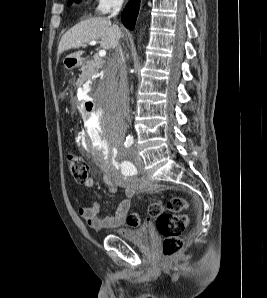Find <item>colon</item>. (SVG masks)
Masks as SVG:
<instances>
[{"instance_id":"obj_1","label":"colon","mask_w":267,"mask_h":298,"mask_svg":"<svg viewBox=\"0 0 267 298\" xmlns=\"http://www.w3.org/2000/svg\"><path fill=\"white\" fill-rule=\"evenodd\" d=\"M67 163L75 181L84 185L89 176V166L79 155L69 153ZM188 202L182 197H173L166 203L153 202L147 208L149 217L156 219V226L163 237L162 250L166 258H172L183 248V235L189 225L187 214ZM141 215L131 212L127 216V224L137 227L141 224Z\"/></svg>"}]
</instances>
